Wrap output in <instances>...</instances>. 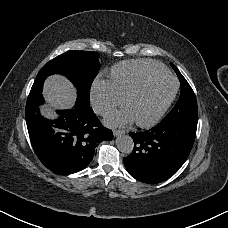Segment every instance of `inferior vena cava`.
Here are the masks:
<instances>
[{"instance_id":"602c4592","label":"inferior vena cava","mask_w":228,"mask_h":228,"mask_svg":"<svg viewBox=\"0 0 228 228\" xmlns=\"http://www.w3.org/2000/svg\"><path fill=\"white\" fill-rule=\"evenodd\" d=\"M92 109L95 113H103L106 110V107L102 102H98L92 106Z\"/></svg>"}]
</instances>
